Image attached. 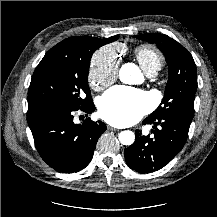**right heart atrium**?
Returning <instances> with one entry per match:
<instances>
[{
  "instance_id": "obj_1",
  "label": "right heart atrium",
  "mask_w": 217,
  "mask_h": 217,
  "mask_svg": "<svg viewBox=\"0 0 217 217\" xmlns=\"http://www.w3.org/2000/svg\"><path fill=\"white\" fill-rule=\"evenodd\" d=\"M119 55L114 46L108 45L96 51L91 59L88 79L96 90L109 87L117 78Z\"/></svg>"
}]
</instances>
